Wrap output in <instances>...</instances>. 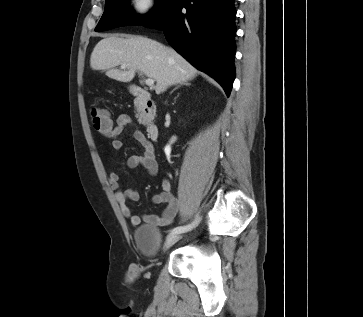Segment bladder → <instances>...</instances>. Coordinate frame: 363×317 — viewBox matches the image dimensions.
I'll list each match as a JSON object with an SVG mask.
<instances>
[{
  "instance_id": "1",
  "label": "bladder",
  "mask_w": 363,
  "mask_h": 317,
  "mask_svg": "<svg viewBox=\"0 0 363 317\" xmlns=\"http://www.w3.org/2000/svg\"><path fill=\"white\" fill-rule=\"evenodd\" d=\"M134 239L144 256L153 258L157 255L161 233L156 227L149 224L137 227L134 232Z\"/></svg>"
}]
</instances>
